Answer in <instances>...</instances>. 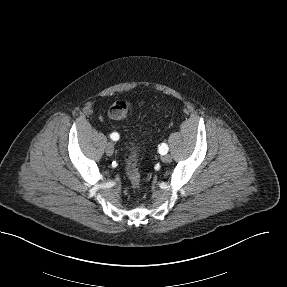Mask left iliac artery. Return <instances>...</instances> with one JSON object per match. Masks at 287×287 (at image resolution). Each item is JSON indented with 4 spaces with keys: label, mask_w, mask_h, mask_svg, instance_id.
<instances>
[{
    "label": "left iliac artery",
    "mask_w": 287,
    "mask_h": 287,
    "mask_svg": "<svg viewBox=\"0 0 287 287\" xmlns=\"http://www.w3.org/2000/svg\"><path fill=\"white\" fill-rule=\"evenodd\" d=\"M169 148L166 144L162 143L161 145H159V153L164 155L168 152Z\"/></svg>",
    "instance_id": "1"
}]
</instances>
